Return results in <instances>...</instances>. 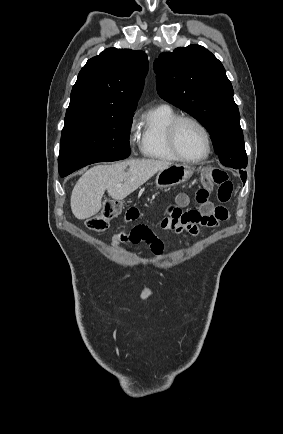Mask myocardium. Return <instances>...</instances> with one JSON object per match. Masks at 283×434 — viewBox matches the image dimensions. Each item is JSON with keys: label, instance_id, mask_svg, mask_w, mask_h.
Listing matches in <instances>:
<instances>
[{"label": "myocardium", "instance_id": "1", "mask_svg": "<svg viewBox=\"0 0 283 434\" xmlns=\"http://www.w3.org/2000/svg\"><path fill=\"white\" fill-rule=\"evenodd\" d=\"M183 122H191L195 124L202 132L204 139H205V145L206 149L202 156L197 158H188L184 156L177 145V130L181 123ZM167 142L169 145L170 150L172 153L176 156V158L180 161L187 162V163H199L207 159L211 153V138L208 129L206 126L197 118L193 116H187V115H180L177 116L168 126L167 128Z\"/></svg>", "mask_w": 283, "mask_h": 434}]
</instances>
